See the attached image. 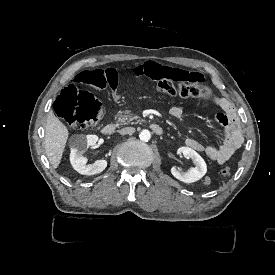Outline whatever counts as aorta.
Listing matches in <instances>:
<instances>
[{
  "label": "aorta",
  "mask_w": 275,
  "mask_h": 275,
  "mask_svg": "<svg viewBox=\"0 0 275 275\" xmlns=\"http://www.w3.org/2000/svg\"><path fill=\"white\" fill-rule=\"evenodd\" d=\"M139 138L141 141L147 142L151 139V133L148 130H143L140 132Z\"/></svg>",
  "instance_id": "1"
}]
</instances>
